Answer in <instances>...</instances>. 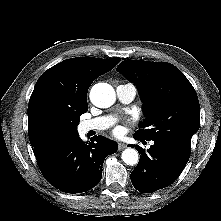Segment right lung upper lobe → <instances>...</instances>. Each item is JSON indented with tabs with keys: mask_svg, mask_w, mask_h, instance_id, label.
Returning <instances> with one entry per match:
<instances>
[{
	"mask_svg": "<svg viewBox=\"0 0 221 221\" xmlns=\"http://www.w3.org/2000/svg\"><path fill=\"white\" fill-rule=\"evenodd\" d=\"M120 58L77 57L64 60L38 79L28 105V135L35 155L67 138L53 127L54 115L85 113L92 82L114 68Z\"/></svg>",
	"mask_w": 221,
	"mask_h": 221,
	"instance_id": "1",
	"label": "right lung upper lobe"
}]
</instances>
